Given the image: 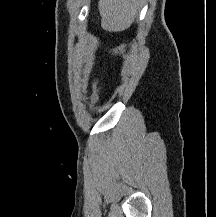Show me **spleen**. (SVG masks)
Wrapping results in <instances>:
<instances>
[{
    "instance_id": "spleen-1",
    "label": "spleen",
    "mask_w": 216,
    "mask_h": 217,
    "mask_svg": "<svg viewBox=\"0 0 216 217\" xmlns=\"http://www.w3.org/2000/svg\"><path fill=\"white\" fill-rule=\"evenodd\" d=\"M141 3L142 0H99L101 26L110 31L129 28Z\"/></svg>"
}]
</instances>
